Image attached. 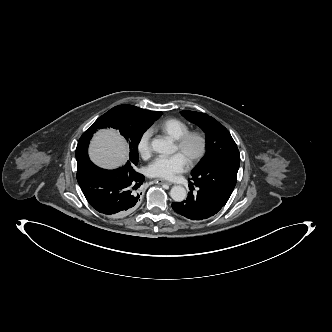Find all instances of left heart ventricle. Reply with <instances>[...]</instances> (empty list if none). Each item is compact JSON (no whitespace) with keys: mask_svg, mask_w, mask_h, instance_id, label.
I'll return each mask as SVG.
<instances>
[{"mask_svg":"<svg viewBox=\"0 0 332 332\" xmlns=\"http://www.w3.org/2000/svg\"><path fill=\"white\" fill-rule=\"evenodd\" d=\"M198 147V143L197 141H192L188 147V152H194ZM176 151H178L177 147H176ZM185 159H186V154L180 153Z\"/></svg>","mask_w":332,"mask_h":332,"instance_id":"left-heart-ventricle-1","label":"left heart ventricle"}]
</instances>
